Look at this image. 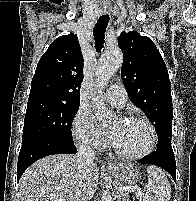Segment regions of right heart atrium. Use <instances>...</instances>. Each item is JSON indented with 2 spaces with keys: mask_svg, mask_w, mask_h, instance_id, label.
Masks as SVG:
<instances>
[{
  "mask_svg": "<svg viewBox=\"0 0 196 201\" xmlns=\"http://www.w3.org/2000/svg\"><path fill=\"white\" fill-rule=\"evenodd\" d=\"M73 137L77 145L94 150H104L108 145L105 134L92 121L86 110L80 109L72 123Z\"/></svg>",
  "mask_w": 196,
  "mask_h": 201,
  "instance_id": "obj_1",
  "label": "right heart atrium"
}]
</instances>
